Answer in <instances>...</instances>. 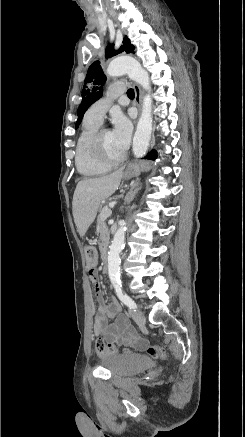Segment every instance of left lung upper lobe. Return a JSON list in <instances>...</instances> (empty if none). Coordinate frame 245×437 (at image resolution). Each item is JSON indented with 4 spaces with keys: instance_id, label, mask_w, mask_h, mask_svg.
Masks as SVG:
<instances>
[{
    "instance_id": "1",
    "label": "left lung upper lobe",
    "mask_w": 245,
    "mask_h": 437,
    "mask_svg": "<svg viewBox=\"0 0 245 437\" xmlns=\"http://www.w3.org/2000/svg\"><path fill=\"white\" fill-rule=\"evenodd\" d=\"M114 45H108L106 48V58L112 57L122 52L131 53L134 50V46L130 43L128 38H124L123 45L117 50H114ZM106 80L103 74L101 63L95 61L88 69L87 76L85 78V85L82 90V102L78 107V119L76 121V129L82 121L83 115L86 110L102 96V85ZM101 85V86H100ZM93 86V87H92ZM100 86V87H99Z\"/></svg>"
}]
</instances>
